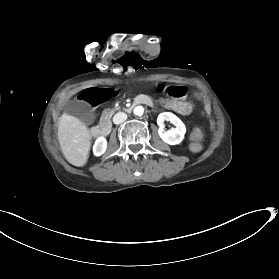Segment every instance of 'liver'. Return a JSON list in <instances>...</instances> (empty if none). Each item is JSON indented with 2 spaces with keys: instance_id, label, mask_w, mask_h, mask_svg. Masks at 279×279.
I'll return each mask as SVG.
<instances>
[{
  "instance_id": "obj_1",
  "label": "liver",
  "mask_w": 279,
  "mask_h": 279,
  "mask_svg": "<svg viewBox=\"0 0 279 279\" xmlns=\"http://www.w3.org/2000/svg\"><path fill=\"white\" fill-rule=\"evenodd\" d=\"M58 140L69 163L78 167L86 163L90 149V134L83 122L63 113L59 119Z\"/></svg>"
}]
</instances>
